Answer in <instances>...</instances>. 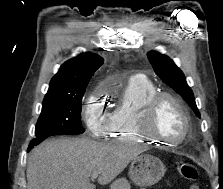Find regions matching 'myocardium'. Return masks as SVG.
<instances>
[{"label":"myocardium","mask_w":223,"mask_h":189,"mask_svg":"<svg viewBox=\"0 0 223 189\" xmlns=\"http://www.w3.org/2000/svg\"><path fill=\"white\" fill-rule=\"evenodd\" d=\"M166 99L170 100L180 110L184 119L185 125L183 135L175 141H169L155 134L152 130L155 112L160 102ZM135 120L137 130L143 138L153 142H161L168 147H176L183 143L189 137L192 128L191 117L188 110L178 97L168 92H156L145 100L137 112Z\"/></svg>","instance_id":"1"}]
</instances>
